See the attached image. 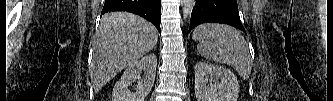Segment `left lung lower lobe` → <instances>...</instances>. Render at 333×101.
I'll return each instance as SVG.
<instances>
[{"label":"left lung lower lobe","mask_w":333,"mask_h":101,"mask_svg":"<svg viewBox=\"0 0 333 101\" xmlns=\"http://www.w3.org/2000/svg\"><path fill=\"white\" fill-rule=\"evenodd\" d=\"M207 22L228 24L245 32L236 0H196L189 31Z\"/></svg>","instance_id":"0a47b994"}]
</instances>
